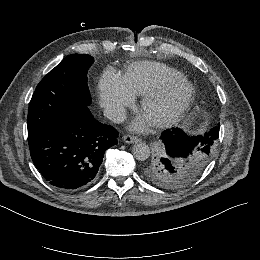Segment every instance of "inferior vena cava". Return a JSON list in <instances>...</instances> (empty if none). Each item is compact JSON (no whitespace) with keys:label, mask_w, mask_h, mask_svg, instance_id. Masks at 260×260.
Segmentation results:
<instances>
[{"label":"inferior vena cava","mask_w":260,"mask_h":260,"mask_svg":"<svg viewBox=\"0 0 260 260\" xmlns=\"http://www.w3.org/2000/svg\"><path fill=\"white\" fill-rule=\"evenodd\" d=\"M104 115L110 120L118 123L123 121L122 112L117 108H108L104 110Z\"/></svg>","instance_id":"inferior-vena-cava-1"}]
</instances>
